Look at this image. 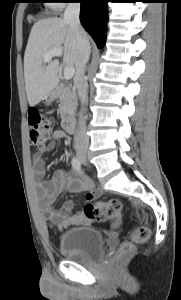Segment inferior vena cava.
Segmentation results:
<instances>
[{
  "label": "inferior vena cava",
  "instance_id": "602c4592",
  "mask_svg": "<svg viewBox=\"0 0 181 300\" xmlns=\"http://www.w3.org/2000/svg\"><path fill=\"white\" fill-rule=\"evenodd\" d=\"M80 3L70 2L63 15V20L67 22L74 33L75 42L77 46L78 56L75 63L76 76L75 86L82 106L87 104L88 100V83L85 79V66L89 60L91 49L88 39L83 35V30L79 20ZM85 118L80 117V127L75 135L74 148L80 152L88 147L89 139L86 135Z\"/></svg>",
  "mask_w": 181,
  "mask_h": 300
}]
</instances>
